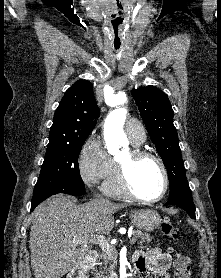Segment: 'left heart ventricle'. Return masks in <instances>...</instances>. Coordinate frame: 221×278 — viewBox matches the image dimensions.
Returning <instances> with one entry per match:
<instances>
[{
    "instance_id": "obj_1",
    "label": "left heart ventricle",
    "mask_w": 221,
    "mask_h": 278,
    "mask_svg": "<svg viewBox=\"0 0 221 278\" xmlns=\"http://www.w3.org/2000/svg\"><path fill=\"white\" fill-rule=\"evenodd\" d=\"M129 150L116 155L122 163H128ZM130 179L135 191L147 198L157 197L163 189V175L158 164L150 158L136 161L130 168Z\"/></svg>"
}]
</instances>
